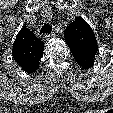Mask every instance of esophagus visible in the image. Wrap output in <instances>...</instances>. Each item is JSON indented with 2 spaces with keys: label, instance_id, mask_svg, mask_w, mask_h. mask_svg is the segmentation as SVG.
Returning a JSON list of instances; mask_svg holds the SVG:
<instances>
[{
  "label": "esophagus",
  "instance_id": "obj_1",
  "mask_svg": "<svg viewBox=\"0 0 113 113\" xmlns=\"http://www.w3.org/2000/svg\"><path fill=\"white\" fill-rule=\"evenodd\" d=\"M55 36V34H53V33H51V34H46L45 36H44V39L45 40H48V39H50V38H52V37H54Z\"/></svg>",
  "mask_w": 113,
  "mask_h": 113
}]
</instances>
